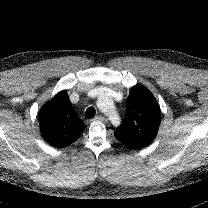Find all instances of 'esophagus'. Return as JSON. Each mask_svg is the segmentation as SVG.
<instances>
[{"label": "esophagus", "mask_w": 208, "mask_h": 208, "mask_svg": "<svg viewBox=\"0 0 208 208\" xmlns=\"http://www.w3.org/2000/svg\"><path fill=\"white\" fill-rule=\"evenodd\" d=\"M93 120L105 122L107 119L102 115H97Z\"/></svg>", "instance_id": "1"}]
</instances>
